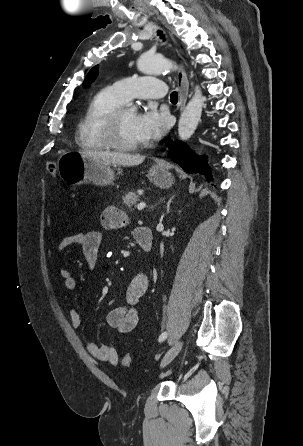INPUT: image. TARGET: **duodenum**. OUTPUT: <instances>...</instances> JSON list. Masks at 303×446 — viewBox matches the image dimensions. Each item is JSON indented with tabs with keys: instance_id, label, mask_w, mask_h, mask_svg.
Masks as SVG:
<instances>
[{
	"instance_id": "1",
	"label": "duodenum",
	"mask_w": 303,
	"mask_h": 446,
	"mask_svg": "<svg viewBox=\"0 0 303 446\" xmlns=\"http://www.w3.org/2000/svg\"><path fill=\"white\" fill-rule=\"evenodd\" d=\"M135 239L138 245L145 251L149 252L152 248L153 237L152 232L148 227H141L135 234Z\"/></svg>"
}]
</instances>
